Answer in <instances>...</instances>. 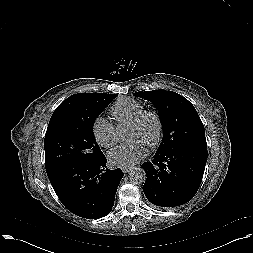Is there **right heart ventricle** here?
I'll return each mask as SVG.
<instances>
[{
    "mask_svg": "<svg viewBox=\"0 0 253 253\" xmlns=\"http://www.w3.org/2000/svg\"><path fill=\"white\" fill-rule=\"evenodd\" d=\"M144 111V105L132 98H121L111 108V114L118 123L129 124Z\"/></svg>",
    "mask_w": 253,
    "mask_h": 253,
    "instance_id": "obj_1",
    "label": "right heart ventricle"
}]
</instances>
